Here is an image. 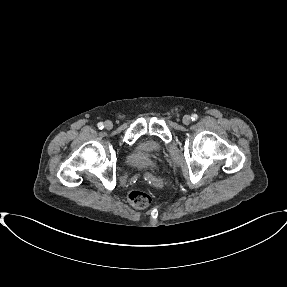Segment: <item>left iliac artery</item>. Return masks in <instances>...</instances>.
Returning <instances> with one entry per match:
<instances>
[{
  "mask_svg": "<svg viewBox=\"0 0 287 287\" xmlns=\"http://www.w3.org/2000/svg\"><path fill=\"white\" fill-rule=\"evenodd\" d=\"M191 119H192L193 121L197 120V119H198V115H197V114H193L192 117H191Z\"/></svg>",
  "mask_w": 287,
  "mask_h": 287,
  "instance_id": "44dca946",
  "label": "left iliac artery"
}]
</instances>
